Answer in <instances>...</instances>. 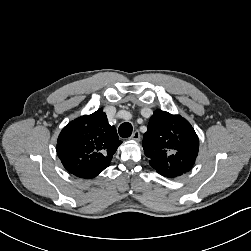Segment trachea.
Wrapping results in <instances>:
<instances>
[{"instance_id":"obj_1","label":"trachea","mask_w":251,"mask_h":251,"mask_svg":"<svg viewBox=\"0 0 251 251\" xmlns=\"http://www.w3.org/2000/svg\"><path fill=\"white\" fill-rule=\"evenodd\" d=\"M132 130H133V127L130 123L128 122H125V123H122L119 128H118V132H119V135L122 137V138H127V137H130L131 134H132Z\"/></svg>"}]
</instances>
